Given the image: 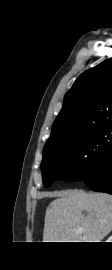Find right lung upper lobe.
<instances>
[{
    "mask_svg": "<svg viewBox=\"0 0 112 270\" xmlns=\"http://www.w3.org/2000/svg\"><path fill=\"white\" fill-rule=\"evenodd\" d=\"M107 124H112V58L85 71L74 82L44 149Z\"/></svg>",
    "mask_w": 112,
    "mask_h": 270,
    "instance_id": "cb5924a9",
    "label": "right lung upper lobe"
}]
</instances>
